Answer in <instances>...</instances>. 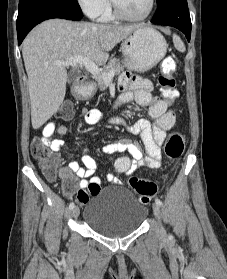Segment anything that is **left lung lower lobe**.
<instances>
[{
    "instance_id": "1",
    "label": "left lung lower lobe",
    "mask_w": 227,
    "mask_h": 279,
    "mask_svg": "<svg viewBox=\"0 0 227 279\" xmlns=\"http://www.w3.org/2000/svg\"><path fill=\"white\" fill-rule=\"evenodd\" d=\"M151 22L175 27L190 41L191 20L187 0H165L158 5Z\"/></svg>"
}]
</instances>
